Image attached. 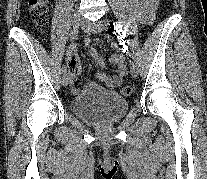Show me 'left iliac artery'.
I'll use <instances>...</instances> for the list:
<instances>
[{
	"label": "left iliac artery",
	"instance_id": "left-iliac-artery-1",
	"mask_svg": "<svg viewBox=\"0 0 207 179\" xmlns=\"http://www.w3.org/2000/svg\"><path fill=\"white\" fill-rule=\"evenodd\" d=\"M110 26L112 29H114L115 32H118V35H121L120 31H122V28L118 22H111ZM128 48H131V45H128ZM127 55L129 57V63L135 64L136 63L135 52L132 49H129Z\"/></svg>",
	"mask_w": 207,
	"mask_h": 179
}]
</instances>
